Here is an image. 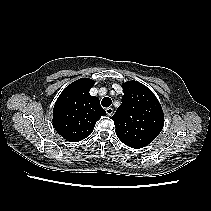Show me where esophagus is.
Wrapping results in <instances>:
<instances>
[{
    "label": "esophagus",
    "mask_w": 211,
    "mask_h": 211,
    "mask_svg": "<svg viewBox=\"0 0 211 211\" xmlns=\"http://www.w3.org/2000/svg\"><path fill=\"white\" fill-rule=\"evenodd\" d=\"M113 113H114L113 108H111V107L106 108V114H107L108 116H112V115H113Z\"/></svg>",
    "instance_id": "esophagus-1"
}]
</instances>
